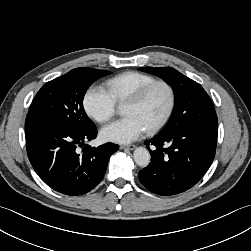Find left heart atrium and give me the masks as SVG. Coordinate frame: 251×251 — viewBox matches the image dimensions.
Masks as SVG:
<instances>
[{"label":"left heart atrium","instance_id":"39dd6f15","mask_svg":"<svg viewBox=\"0 0 251 251\" xmlns=\"http://www.w3.org/2000/svg\"><path fill=\"white\" fill-rule=\"evenodd\" d=\"M146 130L137 117L125 116L105 126L100 136L104 141L127 144L137 140Z\"/></svg>","mask_w":251,"mask_h":251}]
</instances>
